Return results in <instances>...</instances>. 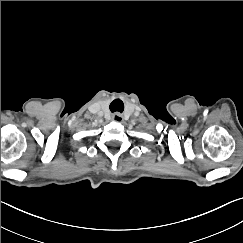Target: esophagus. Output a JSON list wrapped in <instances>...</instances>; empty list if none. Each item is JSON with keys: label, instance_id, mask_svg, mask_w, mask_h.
I'll return each instance as SVG.
<instances>
[{"label": "esophagus", "instance_id": "esophagus-1", "mask_svg": "<svg viewBox=\"0 0 243 243\" xmlns=\"http://www.w3.org/2000/svg\"><path fill=\"white\" fill-rule=\"evenodd\" d=\"M112 120L115 121V122H122L123 117L119 113H115L112 116Z\"/></svg>", "mask_w": 243, "mask_h": 243}]
</instances>
